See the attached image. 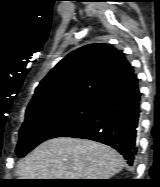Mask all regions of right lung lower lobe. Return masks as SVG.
<instances>
[{"instance_id":"1","label":"right lung lower lobe","mask_w":160,"mask_h":187,"mask_svg":"<svg viewBox=\"0 0 160 187\" xmlns=\"http://www.w3.org/2000/svg\"><path fill=\"white\" fill-rule=\"evenodd\" d=\"M140 101L138 78L133 73L102 96L87 117L59 137L104 143L116 149L132 166L138 150Z\"/></svg>"}]
</instances>
